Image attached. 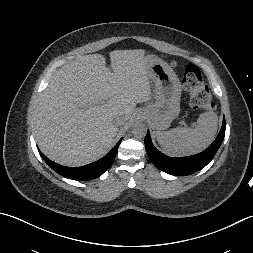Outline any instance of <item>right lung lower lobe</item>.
<instances>
[{
	"label": "right lung lower lobe",
	"mask_w": 253,
	"mask_h": 253,
	"mask_svg": "<svg viewBox=\"0 0 253 253\" xmlns=\"http://www.w3.org/2000/svg\"><path fill=\"white\" fill-rule=\"evenodd\" d=\"M121 140L122 139H120L119 142L113 147V149L108 154H106L102 159L94 163L88 164L86 166L76 168L59 165L48 159L39 149L38 151L41 154L43 160L61 176L73 180L84 181L99 177L101 174H103L107 169L111 167L116 157L117 150Z\"/></svg>",
	"instance_id": "1"
}]
</instances>
